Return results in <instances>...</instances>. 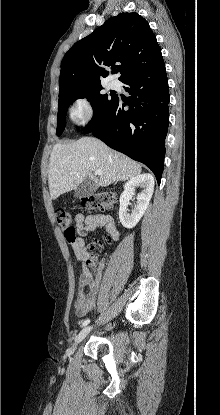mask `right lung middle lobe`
<instances>
[{
  "label": "right lung middle lobe",
  "mask_w": 220,
  "mask_h": 415,
  "mask_svg": "<svg viewBox=\"0 0 220 415\" xmlns=\"http://www.w3.org/2000/svg\"><path fill=\"white\" fill-rule=\"evenodd\" d=\"M102 89L101 84L80 85L59 94L57 136H60L64 131L68 107L76 99L86 98L94 110V116L85 129L92 131L106 119L116 96L113 94L103 95L100 93Z\"/></svg>",
  "instance_id": "right-lung-middle-lobe-1"
}]
</instances>
